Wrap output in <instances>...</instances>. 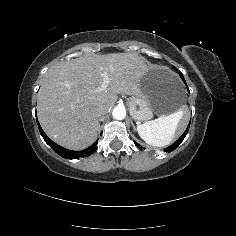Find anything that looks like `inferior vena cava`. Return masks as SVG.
I'll list each match as a JSON object with an SVG mask.
<instances>
[{
  "mask_svg": "<svg viewBox=\"0 0 236 236\" xmlns=\"http://www.w3.org/2000/svg\"><path fill=\"white\" fill-rule=\"evenodd\" d=\"M102 115H105V114L99 108L96 109L95 116L98 118V117H101Z\"/></svg>",
  "mask_w": 236,
  "mask_h": 236,
  "instance_id": "1",
  "label": "inferior vena cava"
}]
</instances>
